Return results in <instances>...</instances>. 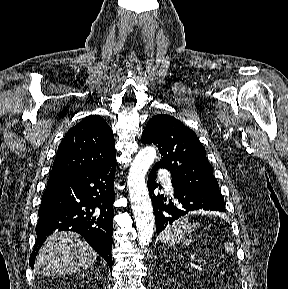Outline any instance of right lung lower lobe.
Returning a JSON list of instances; mask_svg holds the SVG:
<instances>
[{"instance_id": "1", "label": "right lung lower lobe", "mask_w": 288, "mask_h": 289, "mask_svg": "<svg viewBox=\"0 0 288 289\" xmlns=\"http://www.w3.org/2000/svg\"><path fill=\"white\" fill-rule=\"evenodd\" d=\"M115 170L113 160L94 170L48 180L38 211L31 267L43 240L56 229L82 235L111 267Z\"/></svg>"}]
</instances>
